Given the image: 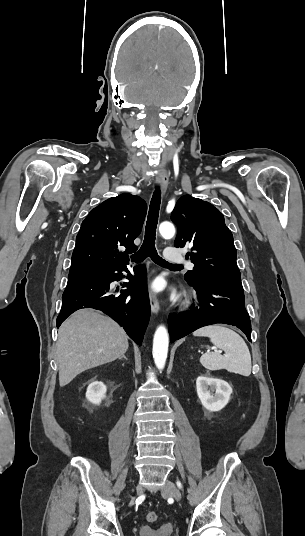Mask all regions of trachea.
<instances>
[{
  "label": "trachea",
  "instance_id": "obj_1",
  "mask_svg": "<svg viewBox=\"0 0 305 536\" xmlns=\"http://www.w3.org/2000/svg\"><path fill=\"white\" fill-rule=\"evenodd\" d=\"M160 203H161V191L159 186L155 187V191L153 193V196L151 198L150 206H149V213L147 217V222L145 226V236L143 240V244L141 245V248L134 253V255H131V260L135 263H139L148 256L151 258L154 263L157 265L163 266L164 268H168L169 270L174 269H182V265H173L172 263H168V261L163 260L161 256L158 255L156 248H155V239H156V228L158 225V217H159V210H160Z\"/></svg>",
  "mask_w": 305,
  "mask_h": 536
}]
</instances>
